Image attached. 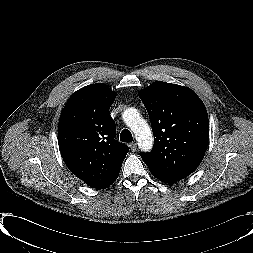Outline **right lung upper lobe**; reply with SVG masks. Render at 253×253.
<instances>
[{
  "label": "right lung upper lobe",
  "instance_id": "1",
  "mask_svg": "<svg viewBox=\"0 0 253 253\" xmlns=\"http://www.w3.org/2000/svg\"><path fill=\"white\" fill-rule=\"evenodd\" d=\"M116 94L103 83L85 86L67 101L58 125V143L70 171L96 189L118 177L129 151L117 142L109 109Z\"/></svg>",
  "mask_w": 253,
  "mask_h": 253
}]
</instances>
